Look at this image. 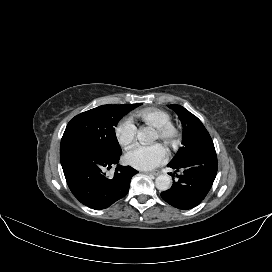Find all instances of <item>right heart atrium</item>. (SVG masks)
Here are the masks:
<instances>
[{"mask_svg":"<svg viewBox=\"0 0 272 272\" xmlns=\"http://www.w3.org/2000/svg\"><path fill=\"white\" fill-rule=\"evenodd\" d=\"M115 137L119 145L125 149L130 148L136 139V126L128 118L121 119L114 129Z\"/></svg>","mask_w":272,"mask_h":272,"instance_id":"obj_1","label":"right heart atrium"}]
</instances>
